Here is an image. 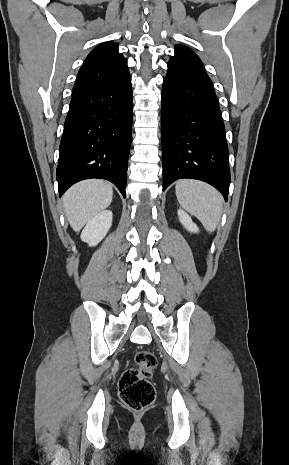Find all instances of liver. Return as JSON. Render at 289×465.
Returning a JSON list of instances; mask_svg holds the SVG:
<instances>
[{"label":"liver","mask_w":289,"mask_h":465,"mask_svg":"<svg viewBox=\"0 0 289 465\" xmlns=\"http://www.w3.org/2000/svg\"><path fill=\"white\" fill-rule=\"evenodd\" d=\"M112 198V185L103 180H86L72 186L63 196L64 213L72 229L81 230L111 204Z\"/></svg>","instance_id":"obj_1"}]
</instances>
